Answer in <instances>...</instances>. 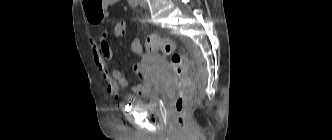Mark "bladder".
I'll use <instances>...</instances> for the list:
<instances>
[{"label": "bladder", "instance_id": "1", "mask_svg": "<svg viewBox=\"0 0 332 140\" xmlns=\"http://www.w3.org/2000/svg\"><path fill=\"white\" fill-rule=\"evenodd\" d=\"M161 94L159 92H151L147 94L144 100L135 99L132 101L134 107L146 111H157L160 107Z\"/></svg>", "mask_w": 332, "mask_h": 140}]
</instances>
